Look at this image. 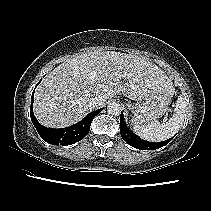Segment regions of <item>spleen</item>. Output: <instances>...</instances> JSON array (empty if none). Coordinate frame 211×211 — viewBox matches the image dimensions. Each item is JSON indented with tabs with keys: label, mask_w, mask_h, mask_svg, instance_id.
<instances>
[{
	"label": "spleen",
	"mask_w": 211,
	"mask_h": 211,
	"mask_svg": "<svg viewBox=\"0 0 211 211\" xmlns=\"http://www.w3.org/2000/svg\"><path fill=\"white\" fill-rule=\"evenodd\" d=\"M186 109V100L180 95L177 99L176 107L173 116L166 123L152 122L148 125H134V131L142 138L159 142L164 141L174 136L181 128Z\"/></svg>",
	"instance_id": "3e777b00"
}]
</instances>
